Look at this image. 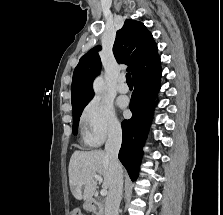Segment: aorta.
I'll return each instance as SVG.
<instances>
[{
  "label": "aorta",
  "mask_w": 223,
  "mask_h": 215,
  "mask_svg": "<svg viewBox=\"0 0 223 215\" xmlns=\"http://www.w3.org/2000/svg\"><path fill=\"white\" fill-rule=\"evenodd\" d=\"M94 92L95 94H103L106 90L105 82L103 76H99V78H96L94 84H93Z\"/></svg>",
  "instance_id": "obj_1"
}]
</instances>
